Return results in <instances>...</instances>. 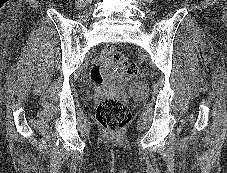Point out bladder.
I'll return each instance as SVG.
<instances>
[{
  "label": "bladder",
  "mask_w": 227,
  "mask_h": 173,
  "mask_svg": "<svg viewBox=\"0 0 227 173\" xmlns=\"http://www.w3.org/2000/svg\"><path fill=\"white\" fill-rule=\"evenodd\" d=\"M130 93L133 96H139L140 93H141V87H140V85H138V84L132 85L131 88H130Z\"/></svg>",
  "instance_id": "obj_1"
}]
</instances>
